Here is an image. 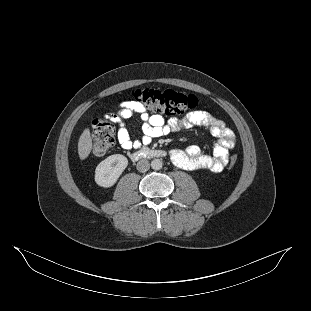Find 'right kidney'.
Instances as JSON below:
<instances>
[{
	"label": "right kidney",
	"mask_w": 311,
	"mask_h": 311,
	"mask_svg": "<svg viewBox=\"0 0 311 311\" xmlns=\"http://www.w3.org/2000/svg\"><path fill=\"white\" fill-rule=\"evenodd\" d=\"M127 164L128 160L122 154H113L107 157L96 168V182L106 187L113 185Z\"/></svg>",
	"instance_id": "ca27d5eb"
}]
</instances>
